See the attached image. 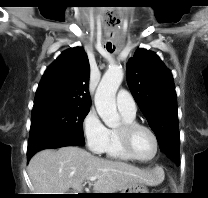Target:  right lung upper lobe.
I'll use <instances>...</instances> for the list:
<instances>
[{
	"label": "right lung upper lobe",
	"instance_id": "right-lung-upper-lobe-1",
	"mask_svg": "<svg viewBox=\"0 0 208 198\" xmlns=\"http://www.w3.org/2000/svg\"><path fill=\"white\" fill-rule=\"evenodd\" d=\"M89 74V61L81 47L62 52L44 72L33 108L58 103L89 107Z\"/></svg>",
	"mask_w": 208,
	"mask_h": 198
}]
</instances>
